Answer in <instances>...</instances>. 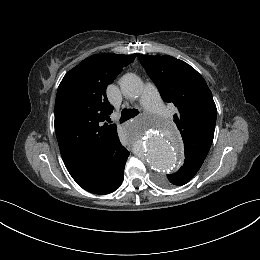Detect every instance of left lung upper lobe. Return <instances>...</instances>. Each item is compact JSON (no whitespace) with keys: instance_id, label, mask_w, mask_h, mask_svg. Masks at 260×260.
<instances>
[{"instance_id":"1","label":"left lung upper lobe","mask_w":260,"mask_h":260,"mask_svg":"<svg viewBox=\"0 0 260 260\" xmlns=\"http://www.w3.org/2000/svg\"><path fill=\"white\" fill-rule=\"evenodd\" d=\"M138 58L163 100L178 108L174 122L184 142V162L201 166L212 144L217 118L216 105L204 78L189 64L172 56L138 54ZM160 183L173 186L166 178Z\"/></svg>"}]
</instances>
